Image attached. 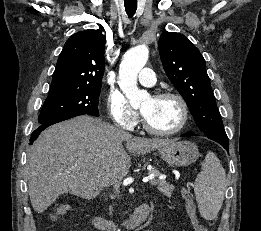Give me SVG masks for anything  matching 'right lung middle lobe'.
Listing matches in <instances>:
<instances>
[{
  "mask_svg": "<svg viewBox=\"0 0 261 231\" xmlns=\"http://www.w3.org/2000/svg\"><path fill=\"white\" fill-rule=\"evenodd\" d=\"M101 87L50 89L38 122L45 124L74 115L99 116L98 98Z\"/></svg>",
  "mask_w": 261,
  "mask_h": 231,
  "instance_id": "obj_1",
  "label": "right lung middle lobe"
}]
</instances>
